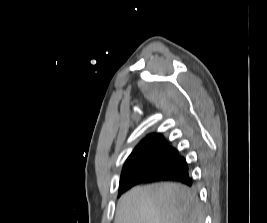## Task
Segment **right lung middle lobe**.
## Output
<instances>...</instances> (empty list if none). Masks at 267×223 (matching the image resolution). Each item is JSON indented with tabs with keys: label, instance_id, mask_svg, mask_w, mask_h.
Listing matches in <instances>:
<instances>
[{
	"label": "right lung middle lobe",
	"instance_id": "1",
	"mask_svg": "<svg viewBox=\"0 0 267 223\" xmlns=\"http://www.w3.org/2000/svg\"><path fill=\"white\" fill-rule=\"evenodd\" d=\"M183 159L176 149L163 150L150 159L127 166L122 176L139 171L168 173L177 167Z\"/></svg>",
	"mask_w": 267,
	"mask_h": 223
}]
</instances>
